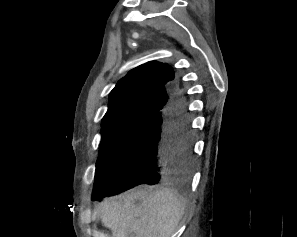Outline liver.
<instances>
[{
  "label": "liver",
  "mask_w": 297,
  "mask_h": 237,
  "mask_svg": "<svg viewBox=\"0 0 297 237\" xmlns=\"http://www.w3.org/2000/svg\"><path fill=\"white\" fill-rule=\"evenodd\" d=\"M185 207L186 200L172 189L153 187L132 189L98 206L101 222L112 237H171Z\"/></svg>",
  "instance_id": "liver-1"
}]
</instances>
